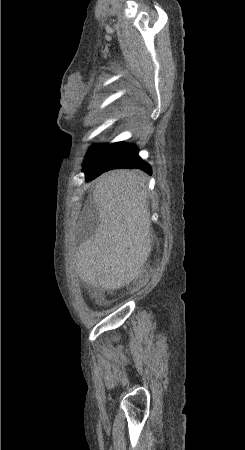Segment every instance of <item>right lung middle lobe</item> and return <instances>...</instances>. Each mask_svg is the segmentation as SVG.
I'll use <instances>...</instances> for the list:
<instances>
[{
  "instance_id": "obj_1",
  "label": "right lung middle lobe",
  "mask_w": 245,
  "mask_h": 450,
  "mask_svg": "<svg viewBox=\"0 0 245 450\" xmlns=\"http://www.w3.org/2000/svg\"><path fill=\"white\" fill-rule=\"evenodd\" d=\"M122 148H124V143L118 142L108 145L103 149L88 151L83 164L84 166L83 171L89 170L97 166L108 153L121 150Z\"/></svg>"
}]
</instances>
